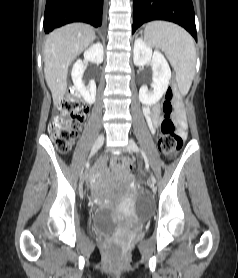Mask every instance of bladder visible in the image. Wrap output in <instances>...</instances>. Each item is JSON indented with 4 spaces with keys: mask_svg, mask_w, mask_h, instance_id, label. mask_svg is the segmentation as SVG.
Returning a JSON list of instances; mask_svg holds the SVG:
<instances>
[{
    "mask_svg": "<svg viewBox=\"0 0 238 278\" xmlns=\"http://www.w3.org/2000/svg\"><path fill=\"white\" fill-rule=\"evenodd\" d=\"M89 230L101 235H109L115 231L117 225L106 211H98L90 216Z\"/></svg>",
    "mask_w": 238,
    "mask_h": 278,
    "instance_id": "31cf9c89",
    "label": "bladder"
}]
</instances>
